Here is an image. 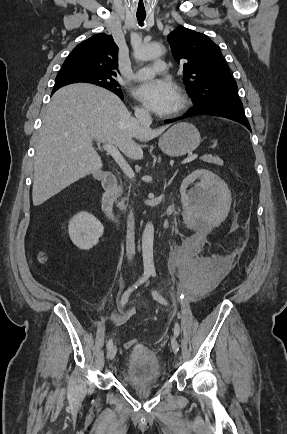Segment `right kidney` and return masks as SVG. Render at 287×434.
Listing matches in <instances>:
<instances>
[{"instance_id":"obj_1","label":"right kidney","mask_w":287,"mask_h":434,"mask_svg":"<svg viewBox=\"0 0 287 434\" xmlns=\"http://www.w3.org/2000/svg\"><path fill=\"white\" fill-rule=\"evenodd\" d=\"M68 231L74 245L81 250H89L98 243L104 227L92 214L80 212L70 220Z\"/></svg>"}]
</instances>
